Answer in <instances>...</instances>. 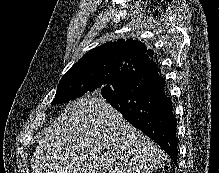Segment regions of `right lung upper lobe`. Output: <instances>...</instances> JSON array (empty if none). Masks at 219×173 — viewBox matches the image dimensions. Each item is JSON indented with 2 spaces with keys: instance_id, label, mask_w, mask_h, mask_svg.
I'll use <instances>...</instances> for the list:
<instances>
[{
  "instance_id": "right-lung-upper-lobe-1",
  "label": "right lung upper lobe",
  "mask_w": 219,
  "mask_h": 173,
  "mask_svg": "<svg viewBox=\"0 0 219 173\" xmlns=\"http://www.w3.org/2000/svg\"><path fill=\"white\" fill-rule=\"evenodd\" d=\"M152 55L153 51L147 50L141 42L133 39H121L105 43L87 52L68 72L81 70L86 66H102L112 61L129 64L134 70L151 61Z\"/></svg>"
}]
</instances>
